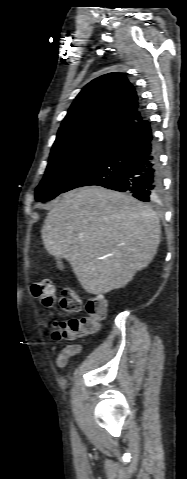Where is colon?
Segmentation results:
<instances>
[{"label": "colon", "mask_w": 187, "mask_h": 479, "mask_svg": "<svg viewBox=\"0 0 187 479\" xmlns=\"http://www.w3.org/2000/svg\"><path fill=\"white\" fill-rule=\"evenodd\" d=\"M31 291L33 296L44 305L55 304L57 298L55 287L50 280L43 279L33 283ZM59 303L66 313H78L85 308L87 314L81 318L58 322L57 331L54 334L57 340L72 339L93 333L97 330L99 322L107 315V301L102 295L93 296L84 303L72 287L63 288Z\"/></svg>", "instance_id": "colon-1"}]
</instances>
